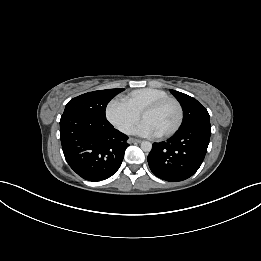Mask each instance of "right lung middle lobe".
<instances>
[{
  "label": "right lung middle lobe",
  "mask_w": 261,
  "mask_h": 261,
  "mask_svg": "<svg viewBox=\"0 0 261 261\" xmlns=\"http://www.w3.org/2000/svg\"><path fill=\"white\" fill-rule=\"evenodd\" d=\"M124 89H107L82 94L71 99L64 113H78L89 117L106 119L105 110L108 102Z\"/></svg>",
  "instance_id": "obj_1"
}]
</instances>
